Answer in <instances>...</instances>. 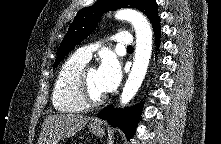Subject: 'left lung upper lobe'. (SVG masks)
Segmentation results:
<instances>
[{
  "label": "left lung upper lobe",
  "instance_id": "obj_1",
  "mask_svg": "<svg viewBox=\"0 0 221 144\" xmlns=\"http://www.w3.org/2000/svg\"><path fill=\"white\" fill-rule=\"evenodd\" d=\"M127 7L141 10L152 23L159 19L155 0H99L94 5L85 7L77 13L58 49L54 68L75 45L91 34L103 13Z\"/></svg>",
  "mask_w": 221,
  "mask_h": 144
}]
</instances>
